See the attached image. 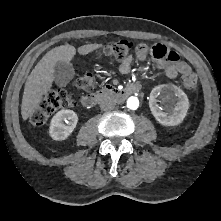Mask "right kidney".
<instances>
[{
  "mask_svg": "<svg viewBox=\"0 0 221 221\" xmlns=\"http://www.w3.org/2000/svg\"><path fill=\"white\" fill-rule=\"evenodd\" d=\"M64 121L66 124H64ZM78 122L72 110H60L51 119L49 134L53 140H65L74 131Z\"/></svg>",
  "mask_w": 221,
  "mask_h": 221,
  "instance_id": "1",
  "label": "right kidney"
}]
</instances>
